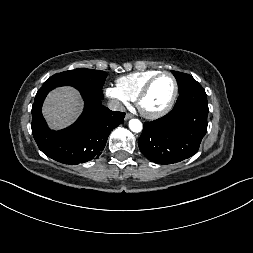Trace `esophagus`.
<instances>
[{
  "label": "esophagus",
  "instance_id": "1",
  "mask_svg": "<svg viewBox=\"0 0 253 253\" xmlns=\"http://www.w3.org/2000/svg\"><path fill=\"white\" fill-rule=\"evenodd\" d=\"M132 117H133L132 114L127 113V114L125 115V120L127 121V120L131 119Z\"/></svg>",
  "mask_w": 253,
  "mask_h": 253
}]
</instances>
